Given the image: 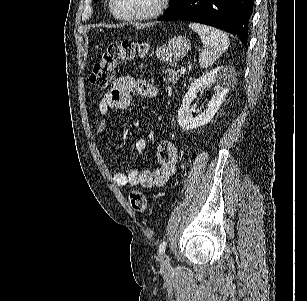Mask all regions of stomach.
<instances>
[{
  "label": "stomach",
  "instance_id": "1",
  "mask_svg": "<svg viewBox=\"0 0 307 301\" xmlns=\"http://www.w3.org/2000/svg\"><path fill=\"white\" fill-rule=\"evenodd\" d=\"M190 46L191 42L189 38L178 34V36L169 38V40L164 42V44H161V46H157L156 56L159 60L167 62V64H173V62L181 60V58L187 54Z\"/></svg>",
  "mask_w": 307,
  "mask_h": 301
}]
</instances>
